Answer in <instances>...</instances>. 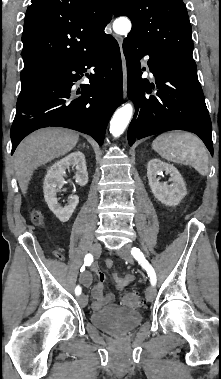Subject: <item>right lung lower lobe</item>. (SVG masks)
<instances>
[{
  "instance_id": "obj_1",
  "label": "right lung lower lobe",
  "mask_w": 221,
  "mask_h": 379,
  "mask_svg": "<svg viewBox=\"0 0 221 379\" xmlns=\"http://www.w3.org/2000/svg\"><path fill=\"white\" fill-rule=\"evenodd\" d=\"M88 68L91 72L85 73ZM83 76L90 84L72 89ZM21 82L11 128V154L29 133L49 126L86 133L102 145L108 121L123 98L119 45L108 35L92 51L39 69Z\"/></svg>"
}]
</instances>
